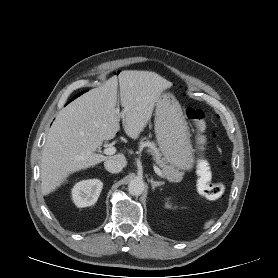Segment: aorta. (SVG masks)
I'll return each mask as SVG.
<instances>
[{
	"label": "aorta",
	"instance_id": "obj_1",
	"mask_svg": "<svg viewBox=\"0 0 278 278\" xmlns=\"http://www.w3.org/2000/svg\"><path fill=\"white\" fill-rule=\"evenodd\" d=\"M128 191L133 196H140L144 191V182L141 179H133L128 184Z\"/></svg>",
	"mask_w": 278,
	"mask_h": 278
}]
</instances>
